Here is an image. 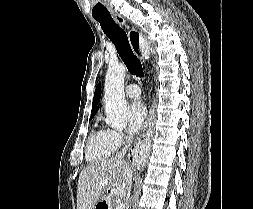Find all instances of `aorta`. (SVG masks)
Here are the masks:
<instances>
[{"instance_id":"aorta-1","label":"aorta","mask_w":253,"mask_h":209,"mask_svg":"<svg viewBox=\"0 0 253 209\" xmlns=\"http://www.w3.org/2000/svg\"><path fill=\"white\" fill-rule=\"evenodd\" d=\"M126 66L122 63L110 64L105 77L106 123L114 128H124L130 108L125 98L124 79Z\"/></svg>"}]
</instances>
